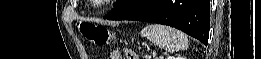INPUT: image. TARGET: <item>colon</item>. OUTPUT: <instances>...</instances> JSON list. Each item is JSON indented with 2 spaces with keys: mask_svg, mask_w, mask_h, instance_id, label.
I'll return each instance as SVG.
<instances>
[{
  "mask_svg": "<svg viewBox=\"0 0 261 59\" xmlns=\"http://www.w3.org/2000/svg\"><path fill=\"white\" fill-rule=\"evenodd\" d=\"M81 34L90 42L98 46H104L111 42L113 39V33L104 26L97 24L82 23L79 25ZM123 57L119 52H113L108 57L109 59H136V55L132 50H124Z\"/></svg>",
  "mask_w": 261,
  "mask_h": 59,
  "instance_id": "5ec220e1",
  "label": "colon"
}]
</instances>
